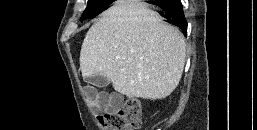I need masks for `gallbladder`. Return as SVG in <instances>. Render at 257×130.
<instances>
[{"mask_svg": "<svg viewBox=\"0 0 257 130\" xmlns=\"http://www.w3.org/2000/svg\"><path fill=\"white\" fill-rule=\"evenodd\" d=\"M86 80L88 83L98 88H104L110 83V80L103 75L89 76V77H86Z\"/></svg>", "mask_w": 257, "mask_h": 130, "instance_id": "obj_1", "label": "gallbladder"}]
</instances>
